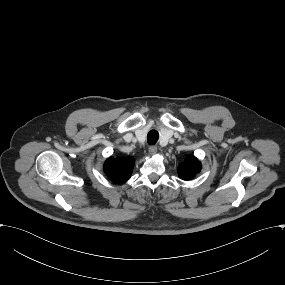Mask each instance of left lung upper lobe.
<instances>
[{
  "mask_svg": "<svg viewBox=\"0 0 285 285\" xmlns=\"http://www.w3.org/2000/svg\"><path fill=\"white\" fill-rule=\"evenodd\" d=\"M201 170V163L192 155L187 156L178 166L179 177L190 180Z\"/></svg>",
  "mask_w": 285,
  "mask_h": 285,
  "instance_id": "obj_1",
  "label": "left lung upper lobe"
}]
</instances>
